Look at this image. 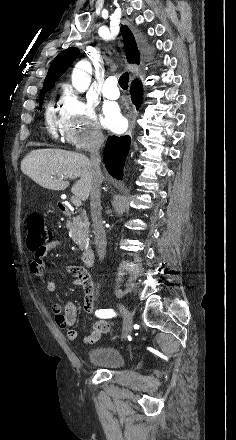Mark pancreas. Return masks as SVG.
<instances>
[{"instance_id": "cf45deb5", "label": "pancreas", "mask_w": 236, "mask_h": 440, "mask_svg": "<svg viewBox=\"0 0 236 440\" xmlns=\"http://www.w3.org/2000/svg\"><path fill=\"white\" fill-rule=\"evenodd\" d=\"M88 217L85 214L74 217L67 225L72 240L80 247L81 250L88 246L89 235Z\"/></svg>"}]
</instances>
